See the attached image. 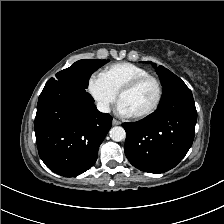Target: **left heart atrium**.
I'll list each match as a JSON object with an SVG mask.
<instances>
[{"label":"left heart atrium","instance_id":"39dd6f15","mask_svg":"<svg viewBox=\"0 0 224 224\" xmlns=\"http://www.w3.org/2000/svg\"><path fill=\"white\" fill-rule=\"evenodd\" d=\"M117 112L122 116H131V113L129 112V110L120 101L118 102V105H117Z\"/></svg>","mask_w":224,"mask_h":224}]
</instances>
